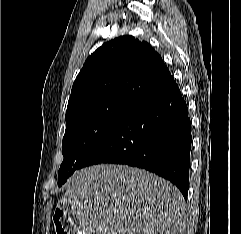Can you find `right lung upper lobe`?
Here are the masks:
<instances>
[{
	"label": "right lung upper lobe",
	"instance_id": "obj_1",
	"mask_svg": "<svg viewBox=\"0 0 241 234\" xmlns=\"http://www.w3.org/2000/svg\"><path fill=\"white\" fill-rule=\"evenodd\" d=\"M169 76L161 56L150 44L130 35L115 38L85 61L73 83L66 115L108 101L135 104Z\"/></svg>",
	"mask_w": 241,
	"mask_h": 234
}]
</instances>
